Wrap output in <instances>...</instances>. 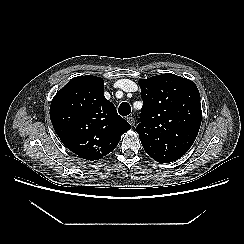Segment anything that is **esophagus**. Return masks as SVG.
Instances as JSON below:
<instances>
[{
    "mask_svg": "<svg viewBox=\"0 0 244 244\" xmlns=\"http://www.w3.org/2000/svg\"><path fill=\"white\" fill-rule=\"evenodd\" d=\"M127 122L131 125L134 126L135 125V120L133 117H127Z\"/></svg>",
    "mask_w": 244,
    "mask_h": 244,
    "instance_id": "obj_1",
    "label": "esophagus"
}]
</instances>
